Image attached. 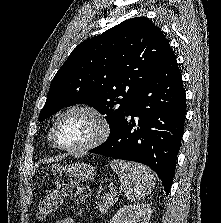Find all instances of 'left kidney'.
I'll list each match as a JSON object with an SVG mask.
<instances>
[{
	"instance_id": "obj_1",
	"label": "left kidney",
	"mask_w": 221,
	"mask_h": 223,
	"mask_svg": "<svg viewBox=\"0 0 221 223\" xmlns=\"http://www.w3.org/2000/svg\"><path fill=\"white\" fill-rule=\"evenodd\" d=\"M151 212L149 204L124 206L117 211L109 223H148Z\"/></svg>"
}]
</instances>
